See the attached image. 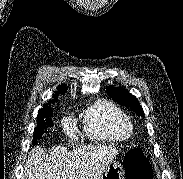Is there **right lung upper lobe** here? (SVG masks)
Returning <instances> with one entry per match:
<instances>
[{
    "label": "right lung upper lobe",
    "mask_w": 183,
    "mask_h": 179,
    "mask_svg": "<svg viewBox=\"0 0 183 179\" xmlns=\"http://www.w3.org/2000/svg\"><path fill=\"white\" fill-rule=\"evenodd\" d=\"M66 89H67V87H66L65 84L59 85V86L57 87L58 92H55V94L53 95V98H54V99H57V94L64 93V92L66 91ZM54 99H53V100H50V101H49L47 104H45L44 106H50V105H51L50 103H52L53 101H55Z\"/></svg>",
    "instance_id": "obj_1"
}]
</instances>
